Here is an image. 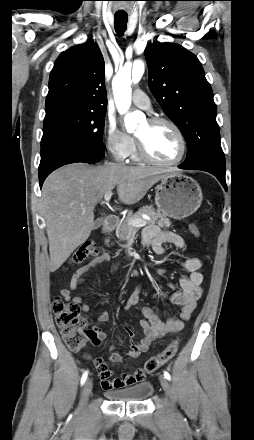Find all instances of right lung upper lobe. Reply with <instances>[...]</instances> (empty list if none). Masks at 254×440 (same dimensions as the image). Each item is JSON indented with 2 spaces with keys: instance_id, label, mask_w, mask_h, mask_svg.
<instances>
[{
  "instance_id": "1",
  "label": "right lung upper lobe",
  "mask_w": 254,
  "mask_h": 440,
  "mask_svg": "<svg viewBox=\"0 0 254 440\" xmlns=\"http://www.w3.org/2000/svg\"><path fill=\"white\" fill-rule=\"evenodd\" d=\"M58 105L106 111L105 64L93 40L62 52L55 61L45 107Z\"/></svg>"
}]
</instances>
